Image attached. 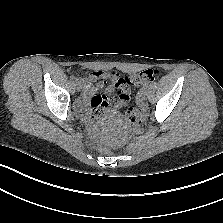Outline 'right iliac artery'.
Segmentation results:
<instances>
[{
	"mask_svg": "<svg viewBox=\"0 0 223 223\" xmlns=\"http://www.w3.org/2000/svg\"><path fill=\"white\" fill-rule=\"evenodd\" d=\"M72 79H76L74 76H72ZM77 80V79H76Z\"/></svg>",
	"mask_w": 223,
	"mask_h": 223,
	"instance_id": "82829eb1",
	"label": "right iliac artery"
}]
</instances>
